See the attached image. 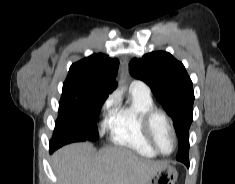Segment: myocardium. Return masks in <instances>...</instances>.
Segmentation results:
<instances>
[{
	"instance_id": "obj_1",
	"label": "myocardium",
	"mask_w": 235,
	"mask_h": 184,
	"mask_svg": "<svg viewBox=\"0 0 235 184\" xmlns=\"http://www.w3.org/2000/svg\"><path fill=\"white\" fill-rule=\"evenodd\" d=\"M159 118L162 119L165 122V124L169 127V129L173 133V136L175 139V147H174L173 151L169 154L163 153L159 149V147L157 146V143L155 140V131H154L155 130V122ZM142 127H143V131H144L147 139L149 140L153 150L157 154H159L161 156H170L175 153V151L178 147V135H177L176 128H175L170 116L165 111H163L159 108H156V107L148 110L142 118Z\"/></svg>"
}]
</instances>
